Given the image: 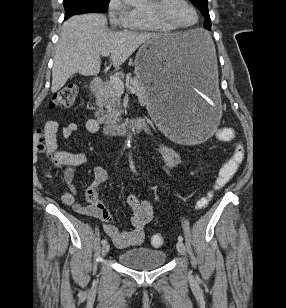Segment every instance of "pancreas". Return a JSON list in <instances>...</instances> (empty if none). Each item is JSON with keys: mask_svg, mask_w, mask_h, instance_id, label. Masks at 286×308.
<instances>
[{"mask_svg": "<svg viewBox=\"0 0 286 308\" xmlns=\"http://www.w3.org/2000/svg\"><path fill=\"white\" fill-rule=\"evenodd\" d=\"M120 80L122 81L121 78ZM126 85L136 90V95L142 104L146 105L148 103L149 93L147 87L139 79L136 78L132 81H126ZM95 96L96 105L98 106V111H96L95 116L98 120L107 124L116 123L120 114L117 109L120 105V94L114 88L113 82L110 80L105 83L96 92ZM103 107L107 109L106 112L103 111Z\"/></svg>", "mask_w": 286, "mask_h": 308, "instance_id": "1", "label": "pancreas"}]
</instances>
